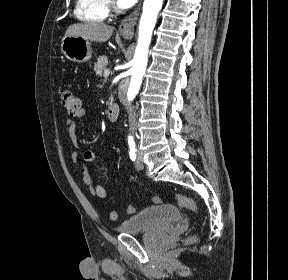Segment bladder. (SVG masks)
<instances>
[{
    "label": "bladder",
    "mask_w": 288,
    "mask_h": 280,
    "mask_svg": "<svg viewBox=\"0 0 288 280\" xmlns=\"http://www.w3.org/2000/svg\"><path fill=\"white\" fill-rule=\"evenodd\" d=\"M182 218L181 211L173 205L147 207L123 221L117 230L123 234L164 230Z\"/></svg>",
    "instance_id": "31cf9c89"
}]
</instances>
